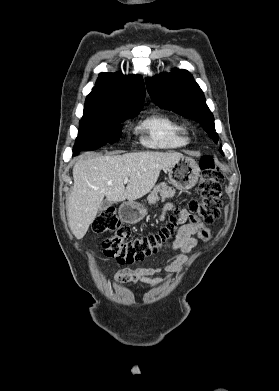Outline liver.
<instances>
[{
    "label": "liver",
    "instance_id": "obj_1",
    "mask_svg": "<svg viewBox=\"0 0 279 391\" xmlns=\"http://www.w3.org/2000/svg\"><path fill=\"white\" fill-rule=\"evenodd\" d=\"M178 152H134L123 155H93L73 167L74 186L67 205L69 227L82 239L107 200L134 201L146 195L164 168L181 158ZM128 184L124 187V179Z\"/></svg>",
    "mask_w": 279,
    "mask_h": 391
}]
</instances>
